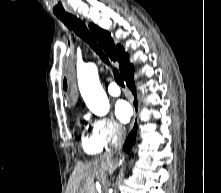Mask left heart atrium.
Segmentation results:
<instances>
[{"label":"left heart atrium","mask_w":221,"mask_h":193,"mask_svg":"<svg viewBox=\"0 0 221 193\" xmlns=\"http://www.w3.org/2000/svg\"><path fill=\"white\" fill-rule=\"evenodd\" d=\"M115 114L122 122H127L132 115V108L127 101L119 100L115 105Z\"/></svg>","instance_id":"1"}]
</instances>
